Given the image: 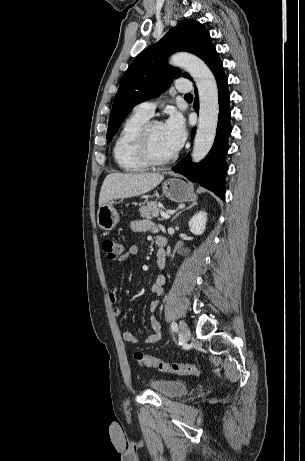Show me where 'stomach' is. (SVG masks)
<instances>
[{"mask_svg":"<svg viewBox=\"0 0 305 461\" xmlns=\"http://www.w3.org/2000/svg\"><path fill=\"white\" fill-rule=\"evenodd\" d=\"M163 194L171 201L183 203L195 201L193 187L179 178H170L162 184ZM119 214L115 209L113 202H108L99 207L97 212V224L105 230H113L119 222Z\"/></svg>","mask_w":305,"mask_h":461,"instance_id":"0dacf381","label":"stomach"}]
</instances>
